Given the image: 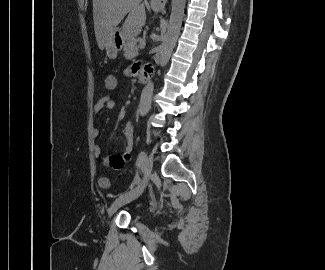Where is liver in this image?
I'll use <instances>...</instances> for the list:
<instances>
[{
  "label": "liver",
  "mask_w": 325,
  "mask_h": 270,
  "mask_svg": "<svg viewBox=\"0 0 325 270\" xmlns=\"http://www.w3.org/2000/svg\"><path fill=\"white\" fill-rule=\"evenodd\" d=\"M142 0H93V21L96 41L100 50L112 37L117 25L126 18L122 31L126 38L133 39L141 33L146 22Z\"/></svg>",
  "instance_id": "6515ba94"
}]
</instances>
